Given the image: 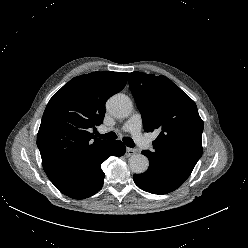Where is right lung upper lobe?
<instances>
[{
	"label": "right lung upper lobe",
	"mask_w": 248,
	"mask_h": 248,
	"mask_svg": "<svg viewBox=\"0 0 248 248\" xmlns=\"http://www.w3.org/2000/svg\"><path fill=\"white\" fill-rule=\"evenodd\" d=\"M129 74L92 72L71 79L48 102L37 134L42 165L51 182L66 174L79 159L101 150L109 141L91 128L103 122L105 103L120 91Z\"/></svg>",
	"instance_id": "obj_1"
}]
</instances>
